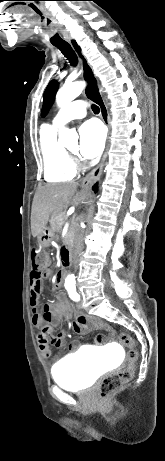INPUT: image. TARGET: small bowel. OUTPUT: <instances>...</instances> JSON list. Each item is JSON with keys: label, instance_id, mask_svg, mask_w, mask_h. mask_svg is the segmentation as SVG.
<instances>
[{"label": "small bowel", "instance_id": "c3829d8e", "mask_svg": "<svg viewBox=\"0 0 165 461\" xmlns=\"http://www.w3.org/2000/svg\"><path fill=\"white\" fill-rule=\"evenodd\" d=\"M64 277L63 271H56V279L53 282L51 289L54 290L62 284ZM42 289V284L40 282L39 286H35L33 281H30V297L29 303L32 308V324L39 329L37 334V344L40 352L44 358H52V345L56 347H62L65 342L66 333L65 331H60L55 333V325L63 317H73V330L78 334H86L90 330L100 329L105 330L109 338L113 337V329L97 320L89 319L85 315L76 313L73 311L71 304L67 300L66 296L60 294L57 296V300L54 302L46 303L42 307V310L37 309L40 297V291ZM96 343H101L103 338L101 336L96 337ZM81 347L79 341H74L68 346L70 352H74ZM59 357L52 359V362L55 363L59 360Z\"/></svg>", "mask_w": 165, "mask_h": 461}]
</instances>
